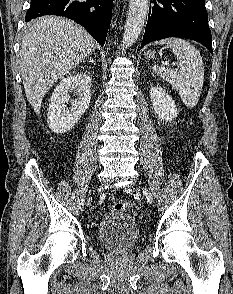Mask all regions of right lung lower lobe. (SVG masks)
Wrapping results in <instances>:
<instances>
[{
	"instance_id": "obj_1",
	"label": "right lung lower lobe",
	"mask_w": 233,
	"mask_h": 294,
	"mask_svg": "<svg viewBox=\"0 0 233 294\" xmlns=\"http://www.w3.org/2000/svg\"><path fill=\"white\" fill-rule=\"evenodd\" d=\"M44 15L74 20L103 46L111 22L112 0H31L25 21Z\"/></svg>"
}]
</instances>
